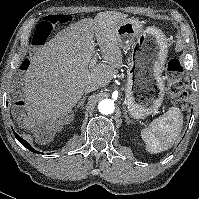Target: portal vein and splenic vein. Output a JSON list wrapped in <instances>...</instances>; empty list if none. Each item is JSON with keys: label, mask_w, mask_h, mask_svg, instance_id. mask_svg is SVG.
<instances>
[{"label": "portal vein and splenic vein", "mask_w": 199, "mask_h": 199, "mask_svg": "<svg viewBox=\"0 0 199 199\" xmlns=\"http://www.w3.org/2000/svg\"><path fill=\"white\" fill-rule=\"evenodd\" d=\"M96 62H97V58H94V59L92 60V65H95Z\"/></svg>", "instance_id": "portal-vein-and-splenic-vein-1"}]
</instances>
